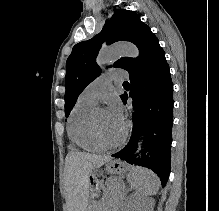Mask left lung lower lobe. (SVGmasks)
I'll list each match as a JSON object with an SVG mask.
<instances>
[{
  "mask_svg": "<svg viewBox=\"0 0 219 211\" xmlns=\"http://www.w3.org/2000/svg\"><path fill=\"white\" fill-rule=\"evenodd\" d=\"M129 75L131 90L121 99L126 104L132 98V104L137 108L132 115V135L129 143L112 156L151 169L165 186L171 168L174 101L173 83L163 49ZM140 136L143 137V149L141 157L135 158Z\"/></svg>",
  "mask_w": 219,
  "mask_h": 211,
  "instance_id": "left-lung-lower-lobe-1",
  "label": "left lung lower lobe"
}]
</instances>
